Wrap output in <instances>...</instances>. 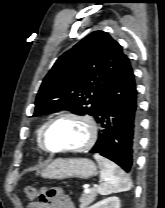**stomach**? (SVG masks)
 <instances>
[{
    "label": "stomach",
    "mask_w": 165,
    "mask_h": 208,
    "mask_svg": "<svg viewBox=\"0 0 165 208\" xmlns=\"http://www.w3.org/2000/svg\"><path fill=\"white\" fill-rule=\"evenodd\" d=\"M97 167L87 158H57L41 170V176L46 179L81 178L88 179L95 176Z\"/></svg>",
    "instance_id": "stomach-1"
}]
</instances>
